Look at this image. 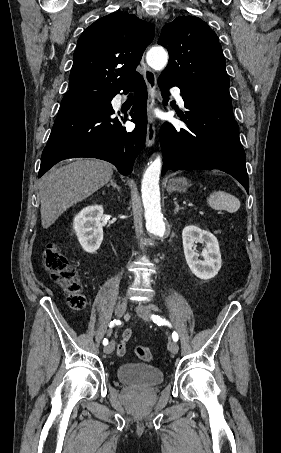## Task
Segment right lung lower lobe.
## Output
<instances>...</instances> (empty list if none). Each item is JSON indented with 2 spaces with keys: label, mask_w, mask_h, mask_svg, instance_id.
Instances as JSON below:
<instances>
[{
  "label": "right lung lower lobe",
  "mask_w": 281,
  "mask_h": 453,
  "mask_svg": "<svg viewBox=\"0 0 281 453\" xmlns=\"http://www.w3.org/2000/svg\"><path fill=\"white\" fill-rule=\"evenodd\" d=\"M137 92L131 109L136 128L127 132L121 122L127 114L115 117L111 100L119 93L78 92L66 94L46 147L42 152L38 177L61 160L94 157L114 164L123 175L132 171L133 163L146 138V84L139 74L122 89Z\"/></svg>",
  "instance_id": "1"
}]
</instances>
